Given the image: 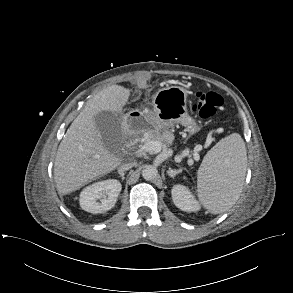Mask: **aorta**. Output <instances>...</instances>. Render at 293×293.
Instances as JSON below:
<instances>
[{
    "mask_svg": "<svg viewBox=\"0 0 293 293\" xmlns=\"http://www.w3.org/2000/svg\"><path fill=\"white\" fill-rule=\"evenodd\" d=\"M158 175V170L155 166L153 165H147L143 170H142V176L145 180L147 181H152L154 180Z\"/></svg>",
    "mask_w": 293,
    "mask_h": 293,
    "instance_id": "obj_1",
    "label": "aorta"
}]
</instances>
